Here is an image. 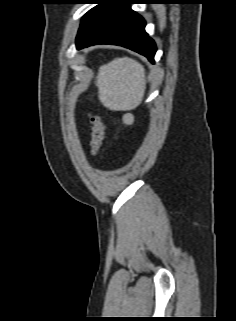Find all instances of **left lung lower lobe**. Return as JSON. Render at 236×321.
Listing matches in <instances>:
<instances>
[{"label": "left lung lower lobe", "mask_w": 236, "mask_h": 321, "mask_svg": "<svg viewBox=\"0 0 236 321\" xmlns=\"http://www.w3.org/2000/svg\"><path fill=\"white\" fill-rule=\"evenodd\" d=\"M140 0H93L98 4L84 17L76 37L78 49L96 44L120 45L154 63L156 45L145 32L144 19L130 5Z\"/></svg>", "instance_id": "1"}]
</instances>
